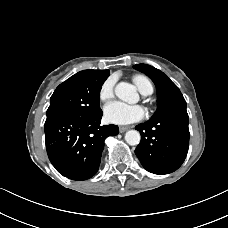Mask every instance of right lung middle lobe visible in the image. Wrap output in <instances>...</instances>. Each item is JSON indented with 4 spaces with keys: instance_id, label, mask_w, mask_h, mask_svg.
<instances>
[{
    "instance_id": "1",
    "label": "right lung middle lobe",
    "mask_w": 228,
    "mask_h": 228,
    "mask_svg": "<svg viewBox=\"0 0 228 228\" xmlns=\"http://www.w3.org/2000/svg\"><path fill=\"white\" fill-rule=\"evenodd\" d=\"M109 74V70L78 72L61 83L51 96L47 119L59 115L95 116L100 113V90Z\"/></svg>"
}]
</instances>
